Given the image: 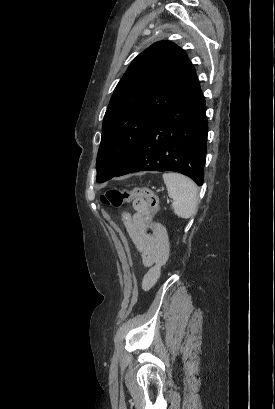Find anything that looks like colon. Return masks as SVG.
<instances>
[{
  "instance_id": "5ec220e1",
  "label": "colon",
  "mask_w": 275,
  "mask_h": 409,
  "mask_svg": "<svg viewBox=\"0 0 275 409\" xmlns=\"http://www.w3.org/2000/svg\"><path fill=\"white\" fill-rule=\"evenodd\" d=\"M101 199L106 205L112 208H120L124 203H130L137 201L138 199H145L148 204L151 218H153L159 210V199L148 188L121 190L114 187L107 190Z\"/></svg>"
}]
</instances>
